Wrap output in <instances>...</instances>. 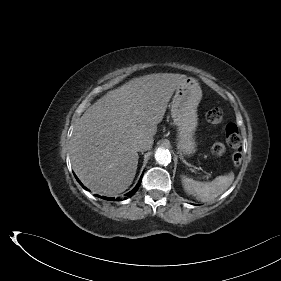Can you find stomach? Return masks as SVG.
I'll return each instance as SVG.
<instances>
[{
	"mask_svg": "<svg viewBox=\"0 0 281 281\" xmlns=\"http://www.w3.org/2000/svg\"><path fill=\"white\" fill-rule=\"evenodd\" d=\"M202 90L196 79L186 77L176 88L171 103V116L178 129L177 147L184 155L196 151L194 134L198 125L197 107Z\"/></svg>",
	"mask_w": 281,
	"mask_h": 281,
	"instance_id": "0dacf381",
	"label": "stomach"
}]
</instances>
